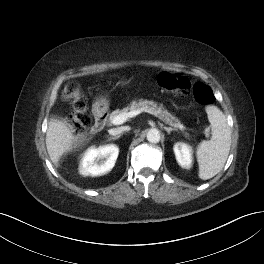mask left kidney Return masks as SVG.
<instances>
[{"instance_id": "obj_1", "label": "left kidney", "mask_w": 264, "mask_h": 264, "mask_svg": "<svg viewBox=\"0 0 264 264\" xmlns=\"http://www.w3.org/2000/svg\"><path fill=\"white\" fill-rule=\"evenodd\" d=\"M174 153L178 164L189 169L192 164V149L185 143H176L174 145Z\"/></svg>"}]
</instances>
